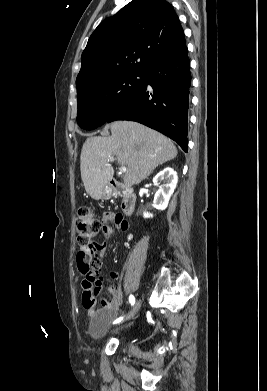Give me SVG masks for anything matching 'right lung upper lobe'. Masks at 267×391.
I'll use <instances>...</instances> for the list:
<instances>
[{"label":"right lung upper lobe","mask_w":267,"mask_h":391,"mask_svg":"<svg viewBox=\"0 0 267 391\" xmlns=\"http://www.w3.org/2000/svg\"><path fill=\"white\" fill-rule=\"evenodd\" d=\"M186 45L179 18L165 0H133L105 19L81 57L77 92L93 80L125 71L144 72Z\"/></svg>","instance_id":"cb5924a9"}]
</instances>
